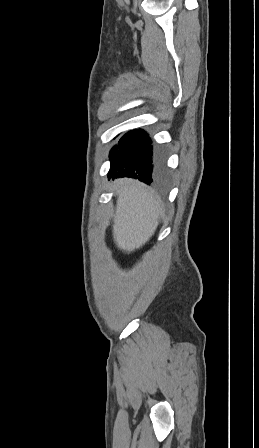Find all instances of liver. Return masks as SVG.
Returning a JSON list of instances; mask_svg holds the SVG:
<instances>
[{"instance_id": "6515ba94", "label": "liver", "mask_w": 259, "mask_h": 448, "mask_svg": "<svg viewBox=\"0 0 259 448\" xmlns=\"http://www.w3.org/2000/svg\"><path fill=\"white\" fill-rule=\"evenodd\" d=\"M115 184L118 190L113 238L117 248L129 254L153 236L161 202L153 190L138 180L121 178Z\"/></svg>"}]
</instances>
